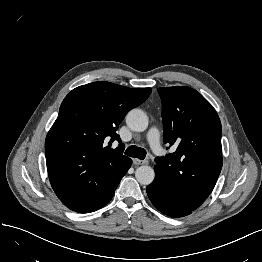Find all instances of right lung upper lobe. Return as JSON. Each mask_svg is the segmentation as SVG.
<instances>
[{"label":"right lung upper lobe","instance_id":"cb5924a9","mask_svg":"<svg viewBox=\"0 0 262 262\" xmlns=\"http://www.w3.org/2000/svg\"><path fill=\"white\" fill-rule=\"evenodd\" d=\"M151 92L100 81L65 97L45 141L50 183L61 201H98L117 188L130 159L111 142H121L120 123Z\"/></svg>","mask_w":262,"mask_h":262}]
</instances>
